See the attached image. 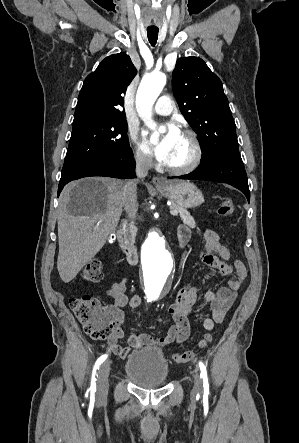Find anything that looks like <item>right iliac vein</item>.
Listing matches in <instances>:
<instances>
[{
	"instance_id": "obj_1",
	"label": "right iliac vein",
	"mask_w": 299,
	"mask_h": 443,
	"mask_svg": "<svg viewBox=\"0 0 299 443\" xmlns=\"http://www.w3.org/2000/svg\"><path fill=\"white\" fill-rule=\"evenodd\" d=\"M110 372V361L104 362L98 371L97 375V398L103 400L108 392V376Z\"/></svg>"
}]
</instances>
